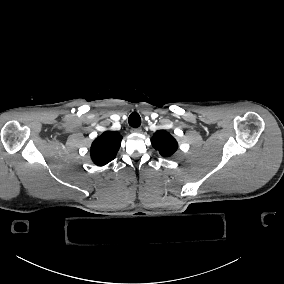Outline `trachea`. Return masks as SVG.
Instances as JSON below:
<instances>
[{"label":"trachea","instance_id":"trachea-1","mask_svg":"<svg viewBox=\"0 0 284 284\" xmlns=\"http://www.w3.org/2000/svg\"><path fill=\"white\" fill-rule=\"evenodd\" d=\"M128 122L131 127L138 128L141 125V117L137 112H133L130 114Z\"/></svg>","mask_w":284,"mask_h":284}]
</instances>
